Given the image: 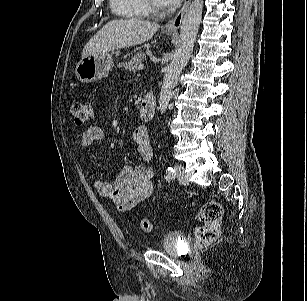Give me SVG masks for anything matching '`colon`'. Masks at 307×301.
Returning a JSON list of instances; mask_svg holds the SVG:
<instances>
[{
	"mask_svg": "<svg viewBox=\"0 0 307 301\" xmlns=\"http://www.w3.org/2000/svg\"><path fill=\"white\" fill-rule=\"evenodd\" d=\"M74 123L83 127L94 118V108L91 104L74 99L69 105ZM223 217V209L216 201H208L200 207L198 219L201 225L196 228V242L200 246H205L216 241L220 235V223ZM139 228L143 232H150L152 224L148 219H141Z\"/></svg>",
	"mask_w": 307,
	"mask_h": 301,
	"instance_id": "5ec220e1",
	"label": "colon"
}]
</instances>
